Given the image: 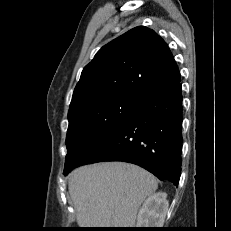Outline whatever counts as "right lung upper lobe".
<instances>
[{
  "label": "right lung upper lobe",
  "mask_w": 231,
  "mask_h": 231,
  "mask_svg": "<svg viewBox=\"0 0 231 231\" xmlns=\"http://www.w3.org/2000/svg\"><path fill=\"white\" fill-rule=\"evenodd\" d=\"M180 81L167 43L153 30L138 26L103 46L84 67L69 113L118 94L142 97Z\"/></svg>",
  "instance_id": "cb5924a9"
}]
</instances>
